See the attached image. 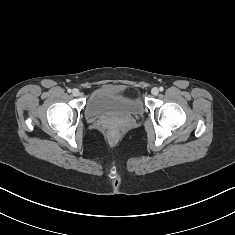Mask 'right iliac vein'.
Here are the masks:
<instances>
[{
    "instance_id": "63e3f726",
    "label": "right iliac vein",
    "mask_w": 235,
    "mask_h": 235,
    "mask_svg": "<svg viewBox=\"0 0 235 235\" xmlns=\"http://www.w3.org/2000/svg\"><path fill=\"white\" fill-rule=\"evenodd\" d=\"M72 94H73V96H79L80 91L75 88V89H73Z\"/></svg>"
}]
</instances>
